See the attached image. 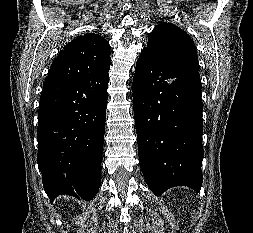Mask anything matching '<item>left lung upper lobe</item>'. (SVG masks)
I'll return each instance as SVG.
<instances>
[{
    "label": "left lung upper lobe",
    "instance_id": "obj_1",
    "mask_svg": "<svg viewBox=\"0 0 253 233\" xmlns=\"http://www.w3.org/2000/svg\"><path fill=\"white\" fill-rule=\"evenodd\" d=\"M160 62L173 68L193 66L199 70L196 47L190 36L178 26L161 22L148 37L145 47Z\"/></svg>",
    "mask_w": 253,
    "mask_h": 233
}]
</instances>
